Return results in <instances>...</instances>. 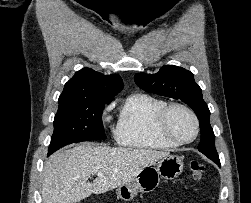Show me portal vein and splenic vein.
Here are the masks:
<instances>
[{
	"mask_svg": "<svg viewBox=\"0 0 251 203\" xmlns=\"http://www.w3.org/2000/svg\"><path fill=\"white\" fill-rule=\"evenodd\" d=\"M99 177H103V174L102 173H98L97 174Z\"/></svg>",
	"mask_w": 251,
	"mask_h": 203,
	"instance_id": "obj_1",
	"label": "portal vein and splenic vein"
}]
</instances>
